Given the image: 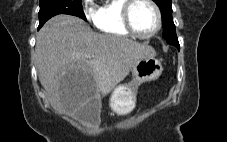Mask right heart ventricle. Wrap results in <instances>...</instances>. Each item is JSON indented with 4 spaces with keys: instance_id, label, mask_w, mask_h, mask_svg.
I'll return each instance as SVG.
<instances>
[{
    "instance_id": "obj_1",
    "label": "right heart ventricle",
    "mask_w": 227,
    "mask_h": 142,
    "mask_svg": "<svg viewBox=\"0 0 227 142\" xmlns=\"http://www.w3.org/2000/svg\"><path fill=\"white\" fill-rule=\"evenodd\" d=\"M124 3L125 0H107L98 8L94 24L100 32L112 36H131L122 22Z\"/></svg>"
}]
</instances>
